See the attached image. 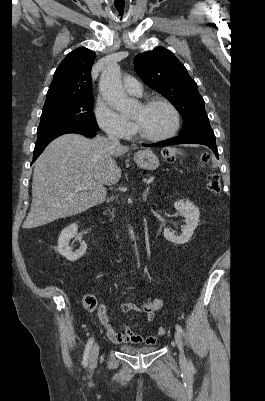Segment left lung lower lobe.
<instances>
[{"mask_svg": "<svg viewBox=\"0 0 265 401\" xmlns=\"http://www.w3.org/2000/svg\"><path fill=\"white\" fill-rule=\"evenodd\" d=\"M177 144H202L213 150L218 158L215 135L210 125L200 127L183 134H179L176 138L167 139L154 144H143L146 147H163Z\"/></svg>", "mask_w": 265, "mask_h": 401, "instance_id": "0a47b994", "label": "left lung lower lobe"}]
</instances>
